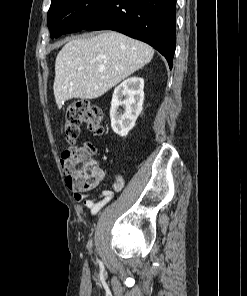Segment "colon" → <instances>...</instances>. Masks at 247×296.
<instances>
[{
    "label": "colon",
    "instance_id": "colon-1",
    "mask_svg": "<svg viewBox=\"0 0 247 296\" xmlns=\"http://www.w3.org/2000/svg\"><path fill=\"white\" fill-rule=\"evenodd\" d=\"M64 132L70 146L61 154V164L67 184L76 191L90 190L102 179L101 169L94 163L96 146L86 143L76 146L80 128L86 125L96 135L104 130L101 110L88 100H78L70 104L64 114Z\"/></svg>",
    "mask_w": 247,
    "mask_h": 296
}]
</instances>
